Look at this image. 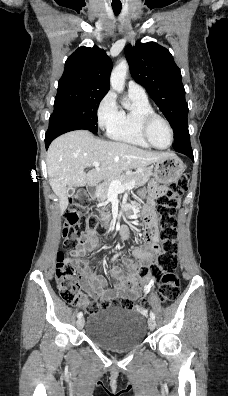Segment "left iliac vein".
<instances>
[{"instance_id": "4c4485c4", "label": "left iliac vein", "mask_w": 228, "mask_h": 396, "mask_svg": "<svg viewBox=\"0 0 228 396\" xmlns=\"http://www.w3.org/2000/svg\"><path fill=\"white\" fill-rule=\"evenodd\" d=\"M148 326H149V329L150 330H154L155 329V327H156V321H155V319H153V318H149L148 319Z\"/></svg>"}]
</instances>
